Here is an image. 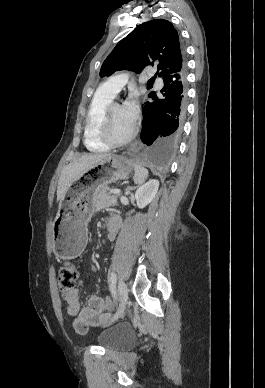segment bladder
<instances>
[{
  "label": "bladder",
  "instance_id": "31cf9c89",
  "mask_svg": "<svg viewBox=\"0 0 265 388\" xmlns=\"http://www.w3.org/2000/svg\"><path fill=\"white\" fill-rule=\"evenodd\" d=\"M131 336L130 327L113 325L101 332L97 339L103 347L119 349L129 345Z\"/></svg>",
  "mask_w": 265,
  "mask_h": 388
}]
</instances>
